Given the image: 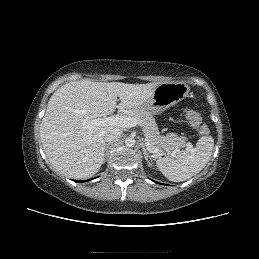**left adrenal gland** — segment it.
I'll return each mask as SVG.
<instances>
[{
    "mask_svg": "<svg viewBox=\"0 0 259 259\" xmlns=\"http://www.w3.org/2000/svg\"><path fill=\"white\" fill-rule=\"evenodd\" d=\"M141 147H142V151H143V154H144V158L147 161V163H149V161H148L149 153H148V151L145 148V145L143 143H141Z\"/></svg>",
    "mask_w": 259,
    "mask_h": 259,
    "instance_id": "a2214340",
    "label": "left adrenal gland"
}]
</instances>
